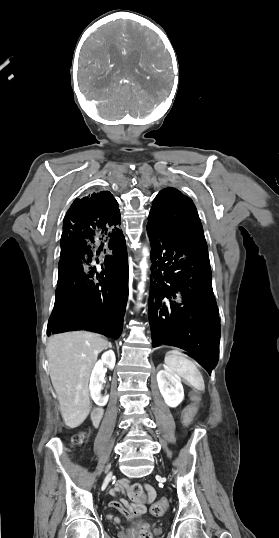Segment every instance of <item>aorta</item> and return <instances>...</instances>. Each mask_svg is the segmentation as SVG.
<instances>
[{
	"mask_svg": "<svg viewBox=\"0 0 279 538\" xmlns=\"http://www.w3.org/2000/svg\"><path fill=\"white\" fill-rule=\"evenodd\" d=\"M142 253H143V258H142V260L140 262V268H141V271H142V276H141V282L138 285V289H139V292H140L139 299H141V295L144 292V285H145V281H146V274H147V268H148L147 256L149 255L148 249L146 247H144L143 250H142Z\"/></svg>",
	"mask_w": 279,
	"mask_h": 538,
	"instance_id": "aorta-1",
	"label": "aorta"
}]
</instances>
